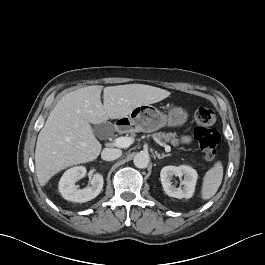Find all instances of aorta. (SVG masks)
Instances as JSON below:
<instances>
[{
    "mask_svg": "<svg viewBox=\"0 0 265 265\" xmlns=\"http://www.w3.org/2000/svg\"><path fill=\"white\" fill-rule=\"evenodd\" d=\"M133 163L137 168H146L149 164V154L146 152L137 153L134 157Z\"/></svg>",
    "mask_w": 265,
    "mask_h": 265,
    "instance_id": "1",
    "label": "aorta"
}]
</instances>
